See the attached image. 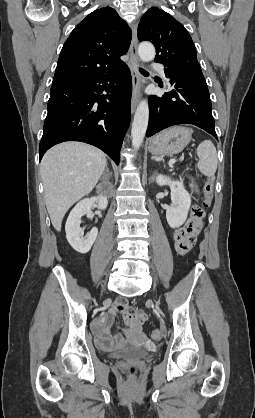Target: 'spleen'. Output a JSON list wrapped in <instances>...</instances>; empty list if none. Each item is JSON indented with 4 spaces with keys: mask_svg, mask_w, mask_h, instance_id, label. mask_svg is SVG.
<instances>
[{
    "mask_svg": "<svg viewBox=\"0 0 255 418\" xmlns=\"http://www.w3.org/2000/svg\"><path fill=\"white\" fill-rule=\"evenodd\" d=\"M197 155L199 157L197 164L199 171L207 177L214 176L217 170L218 159L216 148L212 141H202L197 147Z\"/></svg>",
    "mask_w": 255,
    "mask_h": 418,
    "instance_id": "spleen-1",
    "label": "spleen"
}]
</instances>
